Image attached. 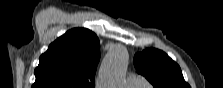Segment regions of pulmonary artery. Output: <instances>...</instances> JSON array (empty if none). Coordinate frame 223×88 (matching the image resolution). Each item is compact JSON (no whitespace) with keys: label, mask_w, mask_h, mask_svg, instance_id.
Wrapping results in <instances>:
<instances>
[{"label":"pulmonary artery","mask_w":223,"mask_h":88,"mask_svg":"<svg viewBox=\"0 0 223 88\" xmlns=\"http://www.w3.org/2000/svg\"><path fill=\"white\" fill-rule=\"evenodd\" d=\"M127 83L132 88H138V87H143L147 85L145 78L136 74L129 75L127 79Z\"/></svg>","instance_id":"e3ab8cb5"}]
</instances>
